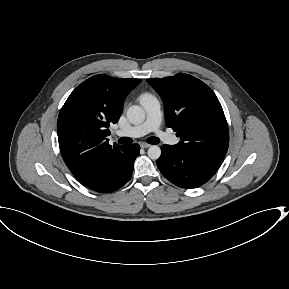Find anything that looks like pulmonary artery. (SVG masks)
Here are the masks:
<instances>
[{"instance_id":"1","label":"pulmonary artery","mask_w":289,"mask_h":289,"mask_svg":"<svg viewBox=\"0 0 289 289\" xmlns=\"http://www.w3.org/2000/svg\"><path fill=\"white\" fill-rule=\"evenodd\" d=\"M141 105L146 112V119L143 123L130 127L128 129L118 130L116 135L119 137H142L150 132L166 144L174 145L179 142L174 135L168 134L160 129L162 122V113L160 103L154 96L143 99Z\"/></svg>"}]
</instances>
